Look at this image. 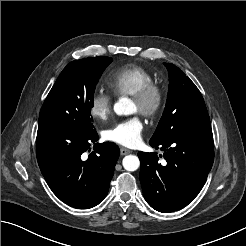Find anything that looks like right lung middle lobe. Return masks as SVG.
<instances>
[{
	"label": "right lung middle lobe",
	"mask_w": 246,
	"mask_h": 246,
	"mask_svg": "<svg viewBox=\"0 0 246 246\" xmlns=\"http://www.w3.org/2000/svg\"><path fill=\"white\" fill-rule=\"evenodd\" d=\"M112 58L98 56L70 62L50 90L39 115V127L93 132L91 108L95 86Z\"/></svg>",
	"instance_id": "obj_1"
}]
</instances>
